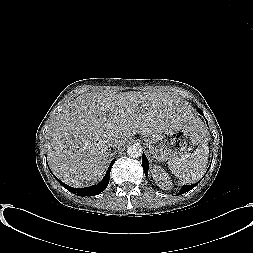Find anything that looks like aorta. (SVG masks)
<instances>
[{"mask_svg":"<svg viewBox=\"0 0 253 253\" xmlns=\"http://www.w3.org/2000/svg\"><path fill=\"white\" fill-rule=\"evenodd\" d=\"M127 154L131 158H138L142 155V148L139 144H134L128 147Z\"/></svg>","mask_w":253,"mask_h":253,"instance_id":"aorta-1","label":"aorta"}]
</instances>
